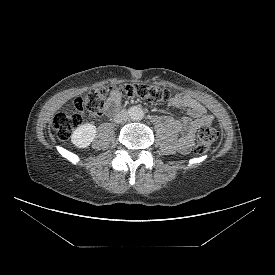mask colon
<instances>
[{"label": "colon", "mask_w": 275, "mask_h": 275, "mask_svg": "<svg viewBox=\"0 0 275 275\" xmlns=\"http://www.w3.org/2000/svg\"><path fill=\"white\" fill-rule=\"evenodd\" d=\"M117 94L122 98L130 100L143 99L151 103H161L171 100L170 92L162 87L145 85V84H129L121 88L117 87H101L90 91L87 95L77 98L74 101L76 113H58L52 120V127L62 140H67L74 129L83 123L81 113L88 112L93 115H102L105 109V102L109 95ZM218 133L209 123H201L198 135L195 153L197 155L206 154L217 139Z\"/></svg>", "instance_id": "colon-1"}]
</instances>
